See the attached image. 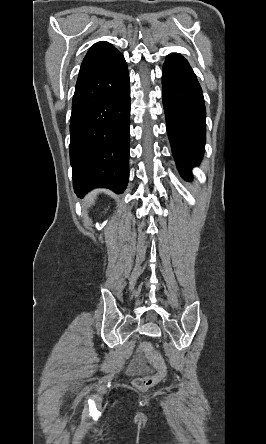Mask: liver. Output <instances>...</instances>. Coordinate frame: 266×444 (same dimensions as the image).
Wrapping results in <instances>:
<instances>
[{
    "mask_svg": "<svg viewBox=\"0 0 266 444\" xmlns=\"http://www.w3.org/2000/svg\"><path fill=\"white\" fill-rule=\"evenodd\" d=\"M94 197H95L94 194H92L88 197L90 204L94 203Z\"/></svg>",
    "mask_w": 266,
    "mask_h": 444,
    "instance_id": "6515ba94",
    "label": "liver"
}]
</instances>
